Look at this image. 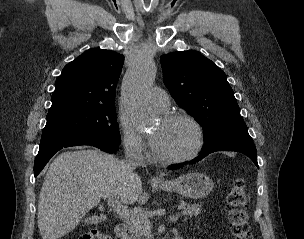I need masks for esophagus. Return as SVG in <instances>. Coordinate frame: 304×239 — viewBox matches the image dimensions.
I'll use <instances>...</instances> for the list:
<instances>
[{
    "instance_id": "1",
    "label": "esophagus",
    "mask_w": 304,
    "mask_h": 239,
    "mask_svg": "<svg viewBox=\"0 0 304 239\" xmlns=\"http://www.w3.org/2000/svg\"><path fill=\"white\" fill-rule=\"evenodd\" d=\"M155 180H156L157 182H160L162 179L159 178V177H156Z\"/></svg>"
}]
</instances>
